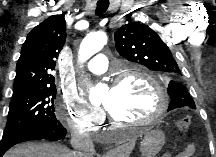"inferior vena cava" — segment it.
Masks as SVG:
<instances>
[{
	"mask_svg": "<svg viewBox=\"0 0 216 157\" xmlns=\"http://www.w3.org/2000/svg\"><path fill=\"white\" fill-rule=\"evenodd\" d=\"M71 145L74 148V157H92L94 145L89 135L79 130H73L71 132Z\"/></svg>",
	"mask_w": 216,
	"mask_h": 157,
	"instance_id": "inferior-vena-cava-1",
	"label": "inferior vena cava"
}]
</instances>
